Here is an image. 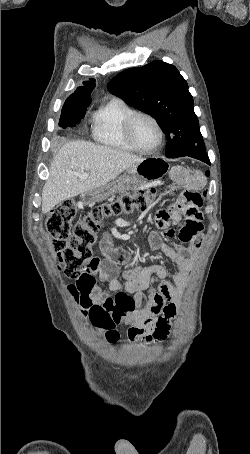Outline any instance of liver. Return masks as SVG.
I'll return each instance as SVG.
<instances>
[{
  "label": "liver",
  "mask_w": 250,
  "mask_h": 454,
  "mask_svg": "<svg viewBox=\"0 0 250 454\" xmlns=\"http://www.w3.org/2000/svg\"><path fill=\"white\" fill-rule=\"evenodd\" d=\"M145 159L131 153L86 141L65 143L53 158L42 190V213L64 200L100 188L124 170ZM89 172L87 179L79 174Z\"/></svg>",
  "instance_id": "liver-1"
}]
</instances>
